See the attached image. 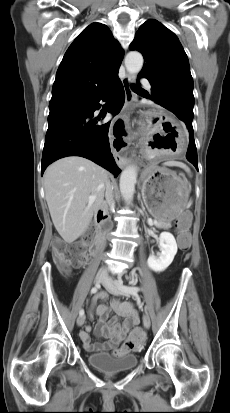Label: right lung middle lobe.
Instances as JSON below:
<instances>
[{
	"instance_id": "right-lung-middle-lobe-1",
	"label": "right lung middle lobe",
	"mask_w": 230,
	"mask_h": 413,
	"mask_svg": "<svg viewBox=\"0 0 230 413\" xmlns=\"http://www.w3.org/2000/svg\"><path fill=\"white\" fill-rule=\"evenodd\" d=\"M72 105H75V104H64V105H59V106H54V107H49V108H50V111H52V110H56V109H59V108H66V107H69V106H72Z\"/></svg>"
}]
</instances>
